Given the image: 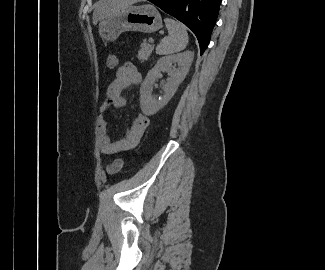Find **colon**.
Returning a JSON list of instances; mask_svg holds the SVG:
<instances>
[{
	"mask_svg": "<svg viewBox=\"0 0 325 270\" xmlns=\"http://www.w3.org/2000/svg\"><path fill=\"white\" fill-rule=\"evenodd\" d=\"M117 65H118L117 56L115 54H110L106 60L107 68L109 70H114L117 67ZM122 166H123V160L116 159L107 167V172L109 174H116L122 169Z\"/></svg>",
	"mask_w": 325,
	"mask_h": 270,
	"instance_id": "1",
	"label": "colon"
}]
</instances>
